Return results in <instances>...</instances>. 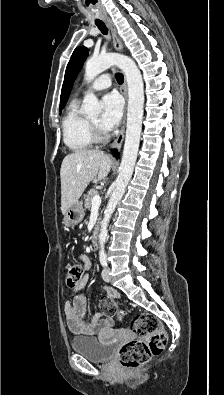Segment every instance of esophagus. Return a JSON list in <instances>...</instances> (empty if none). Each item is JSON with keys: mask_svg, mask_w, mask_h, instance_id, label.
I'll use <instances>...</instances> for the list:
<instances>
[{"mask_svg": "<svg viewBox=\"0 0 224 395\" xmlns=\"http://www.w3.org/2000/svg\"><path fill=\"white\" fill-rule=\"evenodd\" d=\"M105 22L111 30L114 48L117 51H122L123 45H122L120 38L118 37L116 27L114 26L111 19H106ZM122 94L124 95V98L127 102V82H126V79H124V83L122 86ZM125 123H126V108H125V112H124V118H123V123H122L121 129L112 144V148H117V149L121 148L123 140H124V134H125Z\"/></svg>", "mask_w": 224, "mask_h": 395, "instance_id": "34e87169", "label": "esophagus"}]
</instances>
